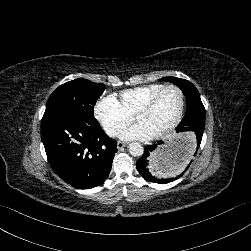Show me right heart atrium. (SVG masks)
I'll use <instances>...</instances> for the list:
<instances>
[{"instance_id":"d8ad5b80","label":"right heart atrium","mask_w":251,"mask_h":251,"mask_svg":"<svg viewBox=\"0 0 251 251\" xmlns=\"http://www.w3.org/2000/svg\"><path fill=\"white\" fill-rule=\"evenodd\" d=\"M93 113L108 135L115 137L131 119V113L115 94H103L94 103Z\"/></svg>"}]
</instances>
